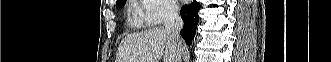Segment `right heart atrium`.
Masks as SVG:
<instances>
[{
	"instance_id": "d8ad5b80",
	"label": "right heart atrium",
	"mask_w": 331,
	"mask_h": 62,
	"mask_svg": "<svg viewBox=\"0 0 331 62\" xmlns=\"http://www.w3.org/2000/svg\"><path fill=\"white\" fill-rule=\"evenodd\" d=\"M139 4L143 23L148 26L159 25L177 14V6L171 0H141Z\"/></svg>"
}]
</instances>
